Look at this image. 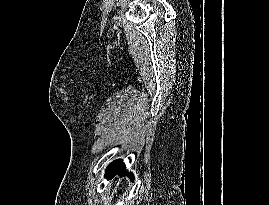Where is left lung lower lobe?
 Returning <instances> with one entry per match:
<instances>
[{"label":"left lung lower lobe","mask_w":269,"mask_h":205,"mask_svg":"<svg viewBox=\"0 0 269 205\" xmlns=\"http://www.w3.org/2000/svg\"><path fill=\"white\" fill-rule=\"evenodd\" d=\"M113 175H128L130 178H134L132 173H129L126 171L125 164L123 163L122 160H115L106 169V177H112Z\"/></svg>","instance_id":"0a47b994"}]
</instances>
